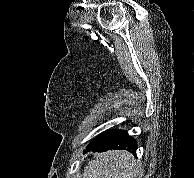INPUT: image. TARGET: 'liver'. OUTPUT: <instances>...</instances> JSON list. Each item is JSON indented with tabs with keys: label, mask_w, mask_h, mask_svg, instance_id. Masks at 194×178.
<instances>
[{
	"label": "liver",
	"mask_w": 194,
	"mask_h": 178,
	"mask_svg": "<svg viewBox=\"0 0 194 178\" xmlns=\"http://www.w3.org/2000/svg\"><path fill=\"white\" fill-rule=\"evenodd\" d=\"M140 170L127 151H108L95 157L85 168L83 178H137Z\"/></svg>",
	"instance_id": "6515ba94"
}]
</instances>
